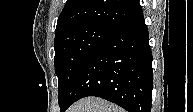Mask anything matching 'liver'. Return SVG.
Here are the masks:
<instances>
[{
	"label": "liver",
	"instance_id": "6515ba94",
	"mask_svg": "<svg viewBox=\"0 0 193 112\" xmlns=\"http://www.w3.org/2000/svg\"><path fill=\"white\" fill-rule=\"evenodd\" d=\"M67 112H125L101 98L87 97L74 103Z\"/></svg>",
	"mask_w": 193,
	"mask_h": 112
}]
</instances>
